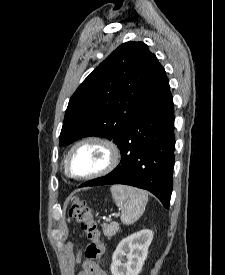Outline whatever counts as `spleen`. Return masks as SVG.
<instances>
[{
	"label": "spleen",
	"instance_id": "spleen-1",
	"mask_svg": "<svg viewBox=\"0 0 225 275\" xmlns=\"http://www.w3.org/2000/svg\"><path fill=\"white\" fill-rule=\"evenodd\" d=\"M110 191L115 204L121 209L122 223L134 224L145 211L148 194L141 189L125 185H113Z\"/></svg>",
	"mask_w": 225,
	"mask_h": 275
}]
</instances>
